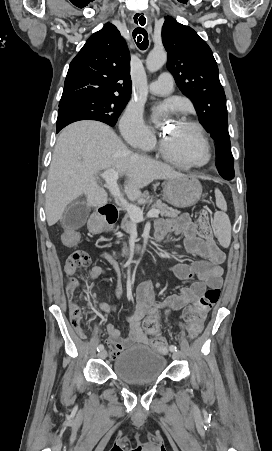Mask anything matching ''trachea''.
<instances>
[{"mask_svg": "<svg viewBox=\"0 0 272 451\" xmlns=\"http://www.w3.org/2000/svg\"><path fill=\"white\" fill-rule=\"evenodd\" d=\"M139 23L141 27L135 28V30L133 31V38L135 39L137 37L136 44L140 48V50H146V48L148 47V34L146 30L142 28L146 23L145 18L142 17V19H139Z\"/></svg>", "mask_w": 272, "mask_h": 451, "instance_id": "1", "label": "trachea"}]
</instances>
